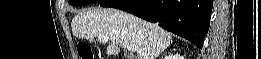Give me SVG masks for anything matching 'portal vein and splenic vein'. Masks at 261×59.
I'll return each mask as SVG.
<instances>
[{
	"label": "portal vein and splenic vein",
	"mask_w": 261,
	"mask_h": 59,
	"mask_svg": "<svg viewBox=\"0 0 261 59\" xmlns=\"http://www.w3.org/2000/svg\"><path fill=\"white\" fill-rule=\"evenodd\" d=\"M98 39L100 40V41H103V42H107L108 40H109V38L107 37V36H101V35H99L98 36ZM124 48H126V49H128L129 51H131V52H135V51H137V47L136 46H132V45H122Z\"/></svg>",
	"instance_id": "1"
}]
</instances>
